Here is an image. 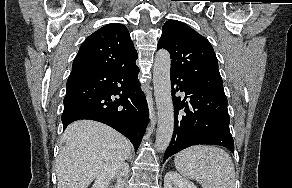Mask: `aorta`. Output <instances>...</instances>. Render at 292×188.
Wrapping results in <instances>:
<instances>
[{"label":"aorta","mask_w":292,"mask_h":188,"mask_svg":"<svg viewBox=\"0 0 292 188\" xmlns=\"http://www.w3.org/2000/svg\"><path fill=\"white\" fill-rule=\"evenodd\" d=\"M171 58L167 50L161 49L155 55L153 66L154 95L157 106L158 125L155 140L156 150L165 151L174 131V107L170 80Z\"/></svg>","instance_id":"762f6f07"}]
</instances>
